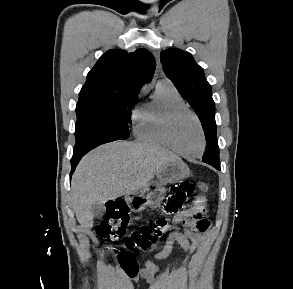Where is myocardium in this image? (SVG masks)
Here are the masks:
<instances>
[{
    "label": "myocardium",
    "mask_w": 293,
    "mask_h": 289,
    "mask_svg": "<svg viewBox=\"0 0 293 289\" xmlns=\"http://www.w3.org/2000/svg\"><path fill=\"white\" fill-rule=\"evenodd\" d=\"M182 113H187V114L191 115L194 118V120L196 121L197 125H198L200 135H201V149H200L199 153L196 154V155H190V154H187V153L183 152L182 150H180L177 147V145H176V143L174 141V138H173V124H174L175 119L179 115H181ZM164 135H165V138H166V141H167L169 147L174 152H176L177 154H179L180 156H182L184 158H187V159L200 158L204 154V152L206 150V136H205V132H204V128H203V125L201 123V120L193 110H191L190 108H188L185 105H180V106L173 107L172 109H170L168 111V113L166 114V117H165V121H164Z\"/></svg>",
    "instance_id": "myocardium-1"
}]
</instances>
